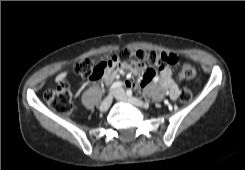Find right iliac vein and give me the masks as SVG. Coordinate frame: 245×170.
<instances>
[{
  "instance_id": "obj_1",
  "label": "right iliac vein",
  "mask_w": 245,
  "mask_h": 170,
  "mask_svg": "<svg viewBox=\"0 0 245 170\" xmlns=\"http://www.w3.org/2000/svg\"><path fill=\"white\" fill-rule=\"evenodd\" d=\"M112 103V96H107L100 105V110L102 112L107 111Z\"/></svg>"
}]
</instances>
